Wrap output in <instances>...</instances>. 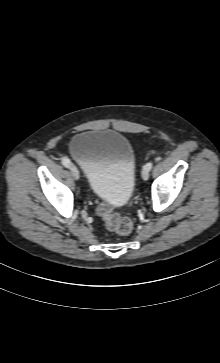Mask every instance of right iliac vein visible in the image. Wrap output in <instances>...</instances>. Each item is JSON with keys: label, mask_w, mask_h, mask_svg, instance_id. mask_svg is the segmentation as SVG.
<instances>
[{"label": "right iliac vein", "mask_w": 220, "mask_h": 363, "mask_svg": "<svg viewBox=\"0 0 220 363\" xmlns=\"http://www.w3.org/2000/svg\"><path fill=\"white\" fill-rule=\"evenodd\" d=\"M69 168H70V171H71V174H72L73 178L75 180H79L80 173H79V170L77 169V167L75 165L71 164Z\"/></svg>", "instance_id": "right-iliac-vein-1"}]
</instances>
